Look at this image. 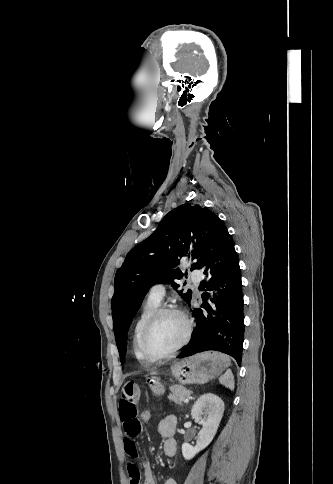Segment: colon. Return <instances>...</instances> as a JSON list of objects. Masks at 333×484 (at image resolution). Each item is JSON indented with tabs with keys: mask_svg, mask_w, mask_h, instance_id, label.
<instances>
[{
	"mask_svg": "<svg viewBox=\"0 0 333 484\" xmlns=\"http://www.w3.org/2000/svg\"><path fill=\"white\" fill-rule=\"evenodd\" d=\"M151 417H152L151 412L147 409H144L140 413L139 420L141 424H149L151 421Z\"/></svg>",
	"mask_w": 333,
	"mask_h": 484,
	"instance_id": "obj_1",
	"label": "colon"
}]
</instances>
